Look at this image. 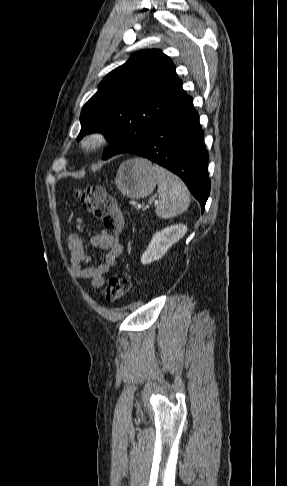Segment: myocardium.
<instances>
[{"label":"myocardium","instance_id":"1","mask_svg":"<svg viewBox=\"0 0 287 486\" xmlns=\"http://www.w3.org/2000/svg\"><path fill=\"white\" fill-rule=\"evenodd\" d=\"M108 142V137L103 131H94L86 135L82 141L81 146L88 151H96L102 148Z\"/></svg>","mask_w":287,"mask_h":486}]
</instances>
